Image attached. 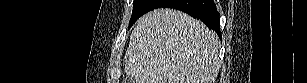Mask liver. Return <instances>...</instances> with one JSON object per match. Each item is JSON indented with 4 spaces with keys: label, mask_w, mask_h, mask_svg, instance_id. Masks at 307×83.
Segmentation results:
<instances>
[{
    "label": "liver",
    "mask_w": 307,
    "mask_h": 83,
    "mask_svg": "<svg viewBox=\"0 0 307 83\" xmlns=\"http://www.w3.org/2000/svg\"><path fill=\"white\" fill-rule=\"evenodd\" d=\"M219 46L217 34L200 20L155 9L136 22L124 71L133 83H214Z\"/></svg>",
    "instance_id": "obj_1"
}]
</instances>
